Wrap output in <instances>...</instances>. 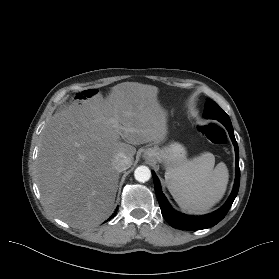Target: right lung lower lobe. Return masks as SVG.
<instances>
[{"mask_svg": "<svg viewBox=\"0 0 279 279\" xmlns=\"http://www.w3.org/2000/svg\"><path fill=\"white\" fill-rule=\"evenodd\" d=\"M115 214H116V211H115L114 214L110 217V219L113 218Z\"/></svg>", "mask_w": 279, "mask_h": 279, "instance_id": "98d812e1", "label": "right lung lower lobe"}]
</instances>
